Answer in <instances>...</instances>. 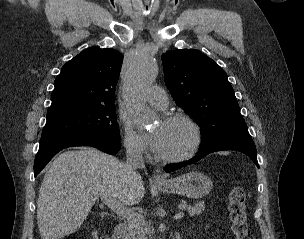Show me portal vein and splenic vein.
<instances>
[{
    "instance_id": "portal-vein-and-splenic-vein-1",
    "label": "portal vein and splenic vein",
    "mask_w": 304,
    "mask_h": 239,
    "mask_svg": "<svg viewBox=\"0 0 304 239\" xmlns=\"http://www.w3.org/2000/svg\"><path fill=\"white\" fill-rule=\"evenodd\" d=\"M104 204L111 208L117 215L126 218L128 221H136L140 215L138 213L129 210L127 207L119 203L114 198H102ZM184 216L183 212H179L174 215L175 220H179Z\"/></svg>"
}]
</instances>
